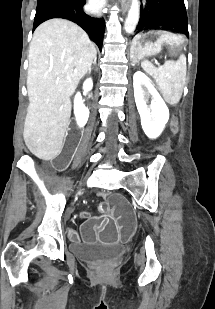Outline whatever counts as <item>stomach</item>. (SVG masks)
I'll use <instances>...</instances> for the list:
<instances>
[{
    "mask_svg": "<svg viewBox=\"0 0 215 309\" xmlns=\"http://www.w3.org/2000/svg\"><path fill=\"white\" fill-rule=\"evenodd\" d=\"M184 37L166 30H150L134 36L130 45L131 61L136 63L162 51L182 55Z\"/></svg>",
    "mask_w": 215,
    "mask_h": 309,
    "instance_id": "0dacf381",
    "label": "stomach"
}]
</instances>
